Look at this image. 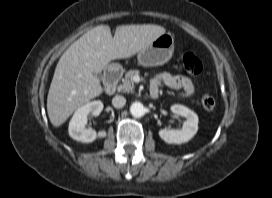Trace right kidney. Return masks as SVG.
Segmentation results:
<instances>
[{
	"instance_id": "ca27d5eb",
	"label": "right kidney",
	"mask_w": 272,
	"mask_h": 198,
	"mask_svg": "<svg viewBox=\"0 0 272 198\" xmlns=\"http://www.w3.org/2000/svg\"><path fill=\"white\" fill-rule=\"evenodd\" d=\"M103 103L100 100L88 102L79 107L70 120L68 131L71 138L83 143L93 142L96 138L106 137V131L101 130L98 133L91 129L85 128L87 116H98L103 110Z\"/></svg>"
}]
</instances>
